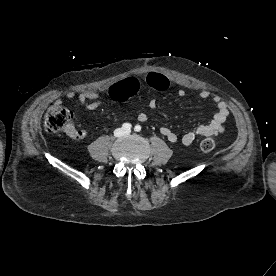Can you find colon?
Listing matches in <instances>:
<instances>
[{"mask_svg": "<svg viewBox=\"0 0 276 276\" xmlns=\"http://www.w3.org/2000/svg\"><path fill=\"white\" fill-rule=\"evenodd\" d=\"M45 130L50 134L59 132H72L74 128V116L64 106L55 104L46 112L44 119ZM198 148L202 152H210L215 148V140L207 137L202 139Z\"/></svg>", "mask_w": 276, "mask_h": 276, "instance_id": "colon-1", "label": "colon"}]
</instances>
